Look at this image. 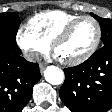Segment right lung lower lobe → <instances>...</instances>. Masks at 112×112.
Returning a JSON list of instances; mask_svg holds the SVG:
<instances>
[{
	"label": "right lung lower lobe",
	"mask_w": 112,
	"mask_h": 112,
	"mask_svg": "<svg viewBox=\"0 0 112 112\" xmlns=\"http://www.w3.org/2000/svg\"><path fill=\"white\" fill-rule=\"evenodd\" d=\"M20 54V50L0 48V112H21L41 78L38 64Z\"/></svg>",
	"instance_id": "98d812e1"
}]
</instances>
